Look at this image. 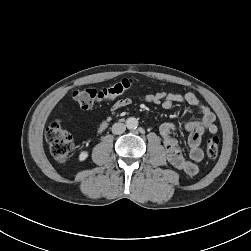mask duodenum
Segmentation results:
<instances>
[{
	"label": "duodenum",
	"instance_id": "1",
	"mask_svg": "<svg viewBox=\"0 0 251 251\" xmlns=\"http://www.w3.org/2000/svg\"><path fill=\"white\" fill-rule=\"evenodd\" d=\"M107 126V122H103L100 126V130H103Z\"/></svg>",
	"mask_w": 251,
	"mask_h": 251
}]
</instances>
